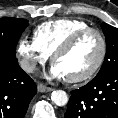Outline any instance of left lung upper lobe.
Instances as JSON below:
<instances>
[{"mask_svg": "<svg viewBox=\"0 0 118 118\" xmlns=\"http://www.w3.org/2000/svg\"><path fill=\"white\" fill-rule=\"evenodd\" d=\"M101 27L106 37L107 50L104 63L95 78L118 71V29L107 23H102Z\"/></svg>", "mask_w": 118, "mask_h": 118, "instance_id": "5c2ea615", "label": "left lung upper lobe"}]
</instances>
